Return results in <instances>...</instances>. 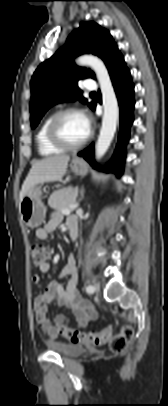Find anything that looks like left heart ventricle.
Returning <instances> with one entry per match:
<instances>
[{
    "label": "left heart ventricle",
    "instance_id": "obj_1",
    "mask_svg": "<svg viewBox=\"0 0 168 406\" xmlns=\"http://www.w3.org/2000/svg\"><path fill=\"white\" fill-rule=\"evenodd\" d=\"M58 130L61 137L69 143L79 142L88 135L83 116L77 113L64 116L59 123Z\"/></svg>",
    "mask_w": 168,
    "mask_h": 406
}]
</instances>
